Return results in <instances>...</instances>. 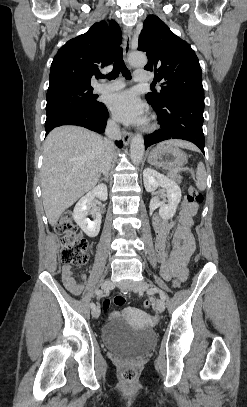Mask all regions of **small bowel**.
<instances>
[{
    "label": "small bowel",
    "mask_w": 247,
    "mask_h": 407,
    "mask_svg": "<svg viewBox=\"0 0 247 407\" xmlns=\"http://www.w3.org/2000/svg\"><path fill=\"white\" fill-rule=\"evenodd\" d=\"M197 205L185 199L179 209L177 222L167 220L155 214L153 227L156 233V251L161 263V273L166 280L178 278L181 281L187 278L188 264L195 251V239L191 232ZM174 230V249L167 251V242L171 230ZM62 278L66 288L73 294H80L86 283V275L82 281L77 282L73 276L70 265L62 267Z\"/></svg>",
    "instance_id": "small-bowel-1"
}]
</instances>
